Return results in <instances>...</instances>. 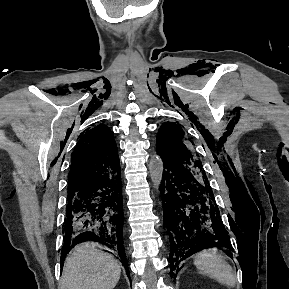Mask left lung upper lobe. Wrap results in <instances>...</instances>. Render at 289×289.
Masks as SVG:
<instances>
[{"label": "left lung upper lobe", "instance_id": "5c2ea615", "mask_svg": "<svg viewBox=\"0 0 289 289\" xmlns=\"http://www.w3.org/2000/svg\"><path fill=\"white\" fill-rule=\"evenodd\" d=\"M192 144L193 141L185 138L183 129L175 123L165 122L158 131L156 149L160 157L186 167L199 179L208 182L202 162L195 154Z\"/></svg>", "mask_w": 289, "mask_h": 289}]
</instances>
